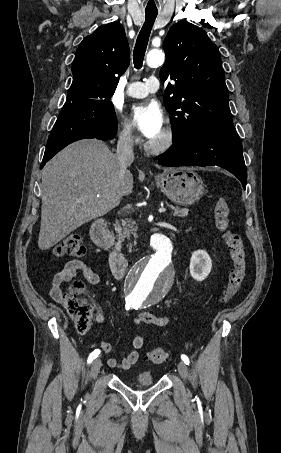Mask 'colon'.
<instances>
[{
    "mask_svg": "<svg viewBox=\"0 0 281 453\" xmlns=\"http://www.w3.org/2000/svg\"><path fill=\"white\" fill-rule=\"evenodd\" d=\"M214 228L223 235V240L230 252L232 266L230 279L219 297V304L226 305L239 293L244 284L247 271V253L241 237L229 229V201L228 188L225 184L216 187L213 199ZM52 251L58 258L86 257L87 247L79 238H66L52 246ZM84 282L79 280L75 288L66 296L67 310L78 318V328L88 329L90 325V310L77 300L84 288ZM148 360L152 363H165L168 361L164 349H150L147 351Z\"/></svg>",
    "mask_w": 281,
    "mask_h": 453,
    "instance_id": "5ec220e1",
    "label": "colon"
}]
</instances>
